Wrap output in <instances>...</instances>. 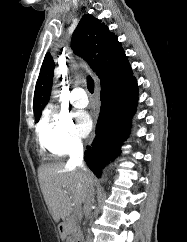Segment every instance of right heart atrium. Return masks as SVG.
<instances>
[{
	"label": "right heart atrium",
	"instance_id": "d8ad5b80",
	"mask_svg": "<svg viewBox=\"0 0 187 242\" xmlns=\"http://www.w3.org/2000/svg\"><path fill=\"white\" fill-rule=\"evenodd\" d=\"M38 136L41 146L55 156H66L82 147L71 115L54 108L45 110L39 124Z\"/></svg>",
	"mask_w": 187,
	"mask_h": 242
}]
</instances>
